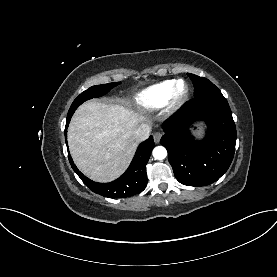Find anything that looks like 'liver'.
Masks as SVG:
<instances>
[{
	"label": "liver",
	"instance_id": "6515ba94",
	"mask_svg": "<svg viewBox=\"0 0 277 277\" xmlns=\"http://www.w3.org/2000/svg\"><path fill=\"white\" fill-rule=\"evenodd\" d=\"M145 121L120 104L83 103L68 128V145L78 169L96 182L118 178L137 148L133 132Z\"/></svg>",
	"mask_w": 277,
	"mask_h": 277
}]
</instances>
